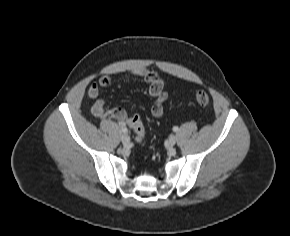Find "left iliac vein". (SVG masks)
I'll return each instance as SVG.
<instances>
[{
    "mask_svg": "<svg viewBox=\"0 0 290 236\" xmlns=\"http://www.w3.org/2000/svg\"><path fill=\"white\" fill-rule=\"evenodd\" d=\"M177 142V137L175 135H171L168 139L169 146L173 147Z\"/></svg>",
    "mask_w": 290,
    "mask_h": 236,
    "instance_id": "1",
    "label": "left iliac vein"
}]
</instances>
